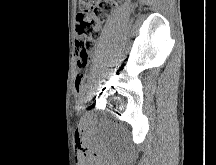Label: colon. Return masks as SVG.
Wrapping results in <instances>:
<instances>
[{"label":"colon","mask_w":216,"mask_h":165,"mask_svg":"<svg viewBox=\"0 0 216 165\" xmlns=\"http://www.w3.org/2000/svg\"><path fill=\"white\" fill-rule=\"evenodd\" d=\"M113 0H80L76 17L77 62L87 64L92 56L94 43L113 9Z\"/></svg>","instance_id":"5ec220e1"}]
</instances>
